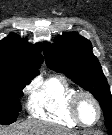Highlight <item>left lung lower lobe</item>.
<instances>
[{
	"mask_svg": "<svg viewBox=\"0 0 112 135\" xmlns=\"http://www.w3.org/2000/svg\"><path fill=\"white\" fill-rule=\"evenodd\" d=\"M109 134L112 135V129H108Z\"/></svg>",
	"mask_w": 112,
	"mask_h": 135,
	"instance_id": "obj_1",
	"label": "left lung lower lobe"
}]
</instances>
